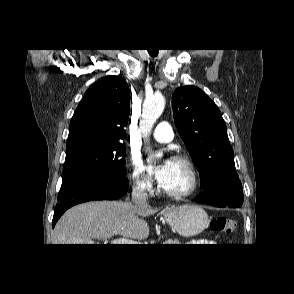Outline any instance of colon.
Here are the masks:
<instances>
[{"label":"colon","instance_id":"1","mask_svg":"<svg viewBox=\"0 0 294 294\" xmlns=\"http://www.w3.org/2000/svg\"><path fill=\"white\" fill-rule=\"evenodd\" d=\"M210 227L218 233L231 234L236 229L237 223L233 219L218 217L211 220Z\"/></svg>","mask_w":294,"mask_h":294}]
</instances>
